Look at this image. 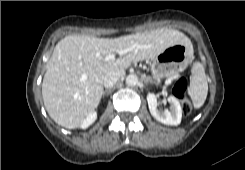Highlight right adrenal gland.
I'll use <instances>...</instances> for the list:
<instances>
[{"label":"right adrenal gland","instance_id":"right-adrenal-gland-1","mask_svg":"<svg viewBox=\"0 0 245 170\" xmlns=\"http://www.w3.org/2000/svg\"><path fill=\"white\" fill-rule=\"evenodd\" d=\"M112 92V89L110 88V89H107V90H105L104 92H103V96H105V95H108L109 93H111Z\"/></svg>","mask_w":245,"mask_h":170}]
</instances>
